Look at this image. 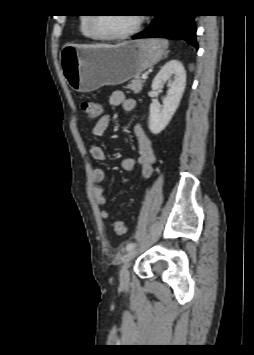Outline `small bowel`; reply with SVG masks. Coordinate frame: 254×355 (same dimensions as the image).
Here are the masks:
<instances>
[{
    "label": "small bowel",
    "instance_id": "c3829d8e",
    "mask_svg": "<svg viewBox=\"0 0 254 355\" xmlns=\"http://www.w3.org/2000/svg\"><path fill=\"white\" fill-rule=\"evenodd\" d=\"M110 104L114 106L121 105L126 111L132 112L136 109V101L134 99L126 98L123 91L116 90L110 96ZM109 116L104 115L91 129L90 137L93 140L99 138L109 125ZM134 136L138 143V155L136 157H125L121 161V167L125 171H132L137 165L140 166L143 178L148 179L152 176L156 156L153 149L152 141L147 136L145 130L140 124H136L133 128ZM90 153L95 160H106V154L102 147L93 142L90 146ZM107 177V172L104 168L95 167L92 169V180L95 183L103 182ZM92 194L95 201L99 205L107 203V195L105 189L100 185H94ZM100 217L104 220L110 218V212L106 209L100 211Z\"/></svg>",
    "mask_w": 254,
    "mask_h": 355
}]
</instances>
